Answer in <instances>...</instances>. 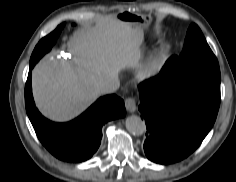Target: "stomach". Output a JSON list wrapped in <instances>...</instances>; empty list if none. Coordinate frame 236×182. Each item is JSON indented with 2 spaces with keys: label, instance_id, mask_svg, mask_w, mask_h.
Returning <instances> with one entry per match:
<instances>
[{
  "label": "stomach",
  "instance_id": "stomach-1",
  "mask_svg": "<svg viewBox=\"0 0 236 182\" xmlns=\"http://www.w3.org/2000/svg\"><path fill=\"white\" fill-rule=\"evenodd\" d=\"M118 20L128 24L132 28H140L147 29L151 24V18L141 15L135 14L129 11H125L118 15Z\"/></svg>",
  "mask_w": 236,
  "mask_h": 182
}]
</instances>
